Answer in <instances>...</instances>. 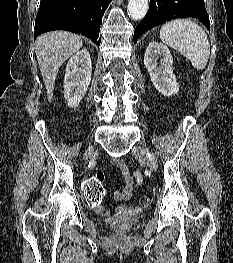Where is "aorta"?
Returning <instances> with one entry per match:
<instances>
[{"label":"aorta","mask_w":233,"mask_h":263,"mask_svg":"<svg viewBox=\"0 0 233 263\" xmlns=\"http://www.w3.org/2000/svg\"><path fill=\"white\" fill-rule=\"evenodd\" d=\"M148 11V0H129L128 14L133 20H141Z\"/></svg>","instance_id":"aorta-1"}]
</instances>
